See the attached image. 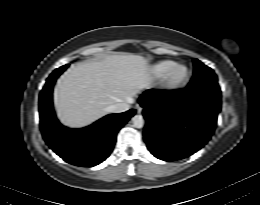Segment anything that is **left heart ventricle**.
<instances>
[{"mask_svg": "<svg viewBox=\"0 0 260 205\" xmlns=\"http://www.w3.org/2000/svg\"><path fill=\"white\" fill-rule=\"evenodd\" d=\"M184 74H185V70H184L183 68H180V69H178V70L176 71L175 77H176V78H181V77L184 76Z\"/></svg>", "mask_w": 260, "mask_h": 205, "instance_id": "obj_1", "label": "left heart ventricle"}]
</instances>
